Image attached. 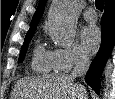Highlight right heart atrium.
Returning a JSON list of instances; mask_svg holds the SVG:
<instances>
[{
    "instance_id": "1",
    "label": "right heart atrium",
    "mask_w": 115,
    "mask_h": 99,
    "mask_svg": "<svg viewBox=\"0 0 115 99\" xmlns=\"http://www.w3.org/2000/svg\"><path fill=\"white\" fill-rule=\"evenodd\" d=\"M54 67L57 71L67 72L87 60L85 52L77 45L56 48L52 51Z\"/></svg>"
}]
</instances>
